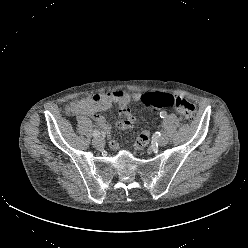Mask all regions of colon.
Masks as SVG:
<instances>
[{
	"label": "colon",
	"instance_id": "5ec220e1",
	"mask_svg": "<svg viewBox=\"0 0 248 248\" xmlns=\"http://www.w3.org/2000/svg\"><path fill=\"white\" fill-rule=\"evenodd\" d=\"M141 101L145 111L163 107L172 108L181 114L186 121L192 120L196 112L194 104L186 98L167 93H147L142 96ZM149 139L150 133L148 129H142L135 141V149L137 151L143 150L147 146Z\"/></svg>",
	"mask_w": 248,
	"mask_h": 248
}]
</instances>
